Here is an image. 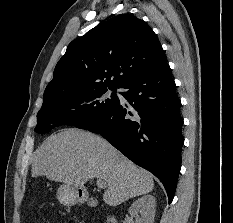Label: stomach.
<instances>
[{
  "label": "stomach",
  "mask_w": 233,
  "mask_h": 223,
  "mask_svg": "<svg viewBox=\"0 0 233 223\" xmlns=\"http://www.w3.org/2000/svg\"><path fill=\"white\" fill-rule=\"evenodd\" d=\"M80 189V193H79ZM87 191L83 189V187H75V185H67V183H63V185H59L56 191V197L60 203L63 205H76L78 201H80V197H86Z\"/></svg>",
  "instance_id": "1"
}]
</instances>
